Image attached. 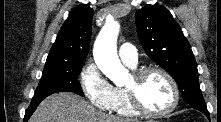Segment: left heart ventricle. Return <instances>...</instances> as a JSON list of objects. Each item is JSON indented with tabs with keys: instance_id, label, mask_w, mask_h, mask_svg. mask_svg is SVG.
I'll return each mask as SVG.
<instances>
[{
	"instance_id": "left-heart-ventricle-1",
	"label": "left heart ventricle",
	"mask_w": 221,
	"mask_h": 122,
	"mask_svg": "<svg viewBox=\"0 0 221 122\" xmlns=\"http://www.w3.org/2000/svg\"><path fill=\"white\" fill-rule=\"evenodd\" d=\"M133 85V79L128 86ZM138 94L142 103L152 111L167 109L172 102V90L167 80L158 73L147 75L138 84Z\"/></svg>"
}]
</instances>
